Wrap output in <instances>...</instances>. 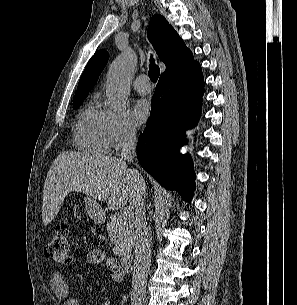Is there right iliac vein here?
Segmentation results:
<instances>
[{
	"label": "right iliac vein",
	"mask_w": 297,
	"mask_h": 305,
	"mask_svg": "<svg viewBox=\"0 0 297 305\" xmlns=\"http://www.w3.org/2000/svg\"><path fill=\"white\" fill-rule=\"evenodd\" d=\"M132 305H144V304H142V303H135V304H132Z\"/></svg>",
	"instance_id": "obj_1"
}]
</instances>
